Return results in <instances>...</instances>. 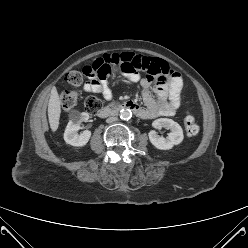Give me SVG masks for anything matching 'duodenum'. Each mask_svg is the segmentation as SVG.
Masks as SVG:
<instances>
[{"label": "duodenum", "instance_id": "1", "mask_svg": "<svg viewBox=\"0 0 248 248\" xmlns=\"http://www.w3.org/2000/svg\"><path fill=\"white\" fill-rule=\"evenodd\" d=\"M124 108H129L136 114L140 113V107L137 104L130 101V102H125L124 104L119 105V106L104 107L98 112L97 115L100 118H105V117L117 114L121 109H124Z\"/></svg>", "mask_w": 248, "mask_h": 248}]
</instances>
